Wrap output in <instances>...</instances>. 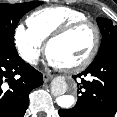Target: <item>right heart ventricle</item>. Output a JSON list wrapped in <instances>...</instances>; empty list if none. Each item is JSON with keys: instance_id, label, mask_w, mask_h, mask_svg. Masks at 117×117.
<instances>
[{"instance_id": "right-heart-ventricle-1", "label": "right heart ventricle", "mask_w": 117, "mask_h": 117, "mask_svg": "<svg viewBox=\"0 0 117 117\" xmlns=\"http://www.w3.org/2000/svg\"><path fill=\"white\" fill-rule=\"evenodd\" d=\"M88 19L86 14L67 6H50L34 11L26 20L30 29L42 42L63 26Z\"/></svg>"}]
</instances>
